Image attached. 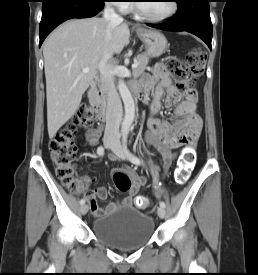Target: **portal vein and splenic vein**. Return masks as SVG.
<instances>
[{"instance_id": "18ae733b", "label": "portal vein and splenic vein", "mask_w": 258, "mask_h": 275, "mask_svg": "<svg viewBox=\"0 0 258 275\" xmlns=\"http://www.w3.org/2000/svg\"><path fill=\"white\" fill-rule=\"evenodd\" d=\"M137 65H138V62H137V60H136V61L132 64V69L136 68ZM82 71H83V72H88V71H89V68H88V67L83 68Z\"/></svg>"}]
</instances>
